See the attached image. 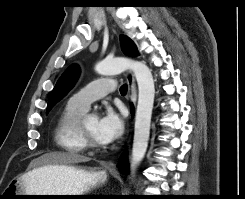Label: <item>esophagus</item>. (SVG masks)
I'll return each instance as SVG.
<instances>
[{
    "instance_id": "34e87169",
    "label": "esophagus",
    "mask_w": 245,
    "mask_h": 199,
    "mask_svg": "<svg viewBox=\"0 0 245 199\" xmlns=\"http://www.w3.org/2000/svg\"><path fill=\"white\" fill-rule=\"evenodd\" d=\"M126 79L128 82V96L130 100L135 103L136 101V84H135V79L134 76L131 72L126 73ZM115 167V164L113 162H108L105 165L106 169H113Z\"/></svg>"
}]
</instances>
